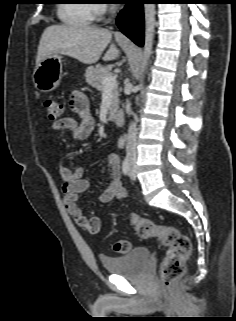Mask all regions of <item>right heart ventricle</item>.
<instances>
[{
	"label": "right heart ventricle",
	"mask_w": 236,
	"mask_h": 321,
	"mask_svg": "<svg viewBox=\"0 0 236 321\" xmlns=\"http://www.w3.org/2000/svg\"><path fill=\"white\" fill-rule=\"evenodd\" d=\"M89 0H68L58 8V16L62 22L69 25H88L93 16V5Z\"/></svg>",
	"instance_id": "e07e8e85"
}]
</instances>
